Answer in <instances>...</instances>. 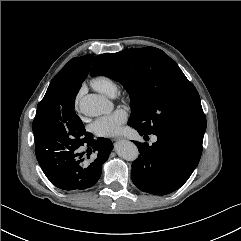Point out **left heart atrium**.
Masks as SVG:
<instances>
[{
    "label": "left heart atrium",
    "mask_w": 241,
    "mask_h": 241,
    "mask_svg": "<svg viewBox=\"0 0 241 241\" xmlns=\"http://www.w3.org/2000/svg\"><path fill=\"white\" fill-rule=\"evenodd\" d=\"M126 118V112L118 109L111 114L96 119L91 125V130L98 136L117 135L121 131V126L126 121Z\"/></svg>",
    "instance_id": "left-heart-atrium-1"
}]
</instances>
